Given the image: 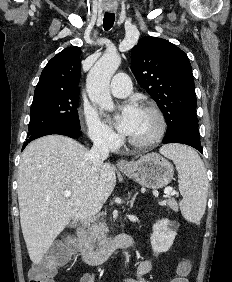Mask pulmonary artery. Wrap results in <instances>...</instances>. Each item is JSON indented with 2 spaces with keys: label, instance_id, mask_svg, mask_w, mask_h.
I'll return each mask as SVG.
<instances>
[{
  "label": "pulmonary artery",
  "instance_id": "pulmonary-artery-1",
  "mask_svg": "<svg viewBox=\"0 0 232 282\" xmlns=\"http://www.w3.org/2000/svg\"><path fill=\"white\" fill-rule=\"evenodd\" d=\"M131 81L126 73H117L110 84V92L113 96L123 98L131 93Z\"/></svg>",
  "mask_w": 232,
  "mask_h": 282
}]
</instances>
